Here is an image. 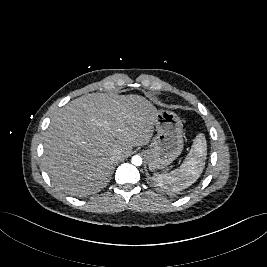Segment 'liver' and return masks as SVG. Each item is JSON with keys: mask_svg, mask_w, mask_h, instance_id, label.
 Listing matches in <instances>:
<instances>
[{"mask_svg": "<svg viewBox=\"0 0 267 267\" xmlns=\"http://www.w3.org/2000/svg\"><path fill=\"white\" fill-rule=\"evenodd\" d=\"M157 109L138 95L95 93L62 107L44 135L43 165L53 183L72 196L107 185L117 160L149 143Z\"/></svg>", "mask_w": 267, "mask_h": 267, "instance_id": "liver-1", "label": "liver"}]
</instances>
